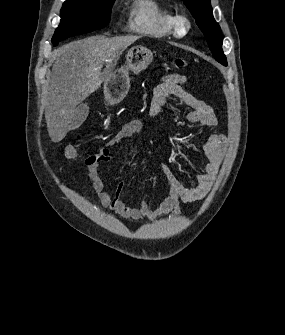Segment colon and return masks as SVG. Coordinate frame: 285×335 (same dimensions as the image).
<instances>
[{
	"mask_svg": "<svg viewBox=\"0 0 285 335\" xmlns=\"http://www.w3.org/2000/svg\"><path fill=\"white\" fill-rule=\"evenodd\" d=\"M173 65L177 69H186L188 68V61L184 58H174L172 61ZM65 155L69 159H75L78 157V149L74 145H69L66 147Z\"/></svg>",
	"mask_w": 285,
	"mask_h": 335,
	"instance_id": "1",
	"label": "colon"
}]
</instances>
